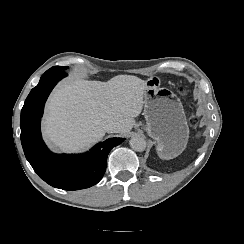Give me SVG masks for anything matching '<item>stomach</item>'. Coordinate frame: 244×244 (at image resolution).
<instances>
[{
	"instance_id": "1",
	"label": "stomach",
	"mask_w": 244,
	"mask_h": 244,
	"mask_svg": "<svg viewBox=\"0 0 244 244\" xmlns=\"http://www.w3.org/2000/svg\"><path fill=\"white\" fill-rule=\"evenodd\" d=\"M161 80L151 76L144 90V116L148 135L156 140L161 159H173L186 148L189 127L183 105L176 94L160 87Z\"/></svg>"
}]
</instances>
